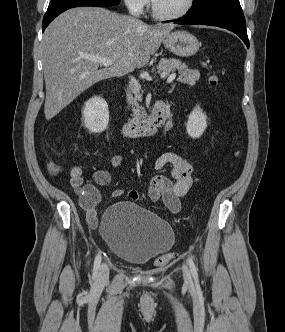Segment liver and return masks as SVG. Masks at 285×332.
Wrapping results in <instances>:
<instances>
[{
  "mask_svg": "<svg viewBox=\"0 0 285 332\" xmlns=\"http://www.w3.org/2000/svg\"><path fill=\"white\" fill-rule=\"evenodd\" d=\"M172 29L98 7L60 14L45 30L42 42L46 119L95 83L145 66ZM85 56L111 59L114 64L99 69V63Z\"/></svg>",
  "mask_w": 285,
  "mask_h": 332,
  "instance_id": "1",
  "label": "liver"
}]
</instances>
